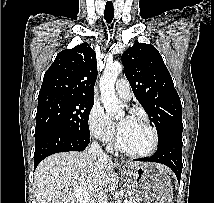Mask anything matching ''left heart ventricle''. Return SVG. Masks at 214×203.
I'll return each mask as SVG.
<instances>
[{
	"mask_svg": "<svg viewBox=\"0 0 214 203\" xmlns=\"http://www.w3.org/2000/svg\"><path fill=\"white\" fill-rule=\"evenodd\" d=\"M123 147L132 152L147 151L152 144L150 130L135 119L122 118L119 123Z\"/></svg>",
	"mask_w": 214,
	"mask_h": 203,
	"instance_id": "obj_1",
	"label": "left heart ventricle"
}]
</instances>
